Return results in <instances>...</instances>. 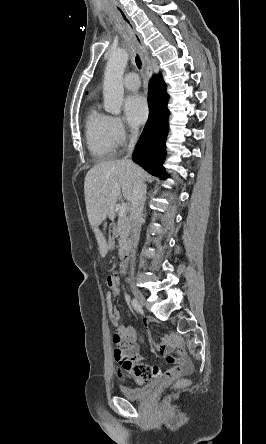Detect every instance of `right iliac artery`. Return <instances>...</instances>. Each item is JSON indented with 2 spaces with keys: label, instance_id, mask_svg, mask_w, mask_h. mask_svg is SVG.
Wrapping results in <instances>:
<instances>
[{
  "label": "right iliac artery",
  "instance_id": "right-iliac-artery-1",
  "mask_svg": "<svg viewBox=\"0 0 266 444\" xmlns=\"http://www.w3.org/2000/svg\"><path fill=\"white\" fill-rule=\"evenodd\" d=\"M132 307H133L136 311H138V310L140 309V305H139V303H138L135 299L132 300Z\"/></svg>",
  "mask_w": 266,
  "mask_h": 444
}]
</instances>
